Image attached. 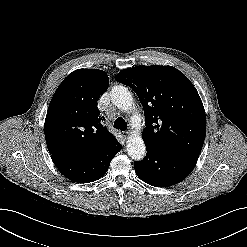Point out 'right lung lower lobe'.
Masks as SVG:
<instances>
[{"instance_id": "98d812e1", "label": "right lung lower lobe", "mask_w": 247, "mask_h": 247, "mask_svg": "<svg viewBox=\"0 0 247 247\" xmlns=\"http://www.w3.org/2000/svg\"><path fill=\"white\" fill-rule=\"evenodd\" d=\"M122 145L116 141L106 150L85 161H74L52 155L58 170L68 179L77 183H89L101 178L108 170L113 157Z\"/></svg>"}]
</instances>
